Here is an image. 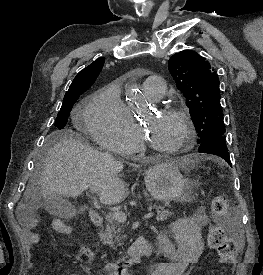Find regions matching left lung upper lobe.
<instances>
[{"instance_id": "left-lung-upper-lobe-1", "label": "left lung upper lobe", "mask_w": 263, "mask_h": 275, "mask_svg": "<svg viewBox=\"0 0 263 275\" xmlns=\"http://www.w3.org/2000/svg\"><path fill=\"white\" fill-rule=\"evenodd\" d=\"M177 88L186 97L198 143L225 133L220 104L219 79L210 64L198 53L185 50L174 54L168 62Z\"/></svg>"}]
</instances>
